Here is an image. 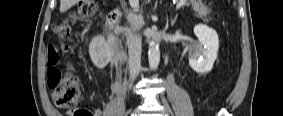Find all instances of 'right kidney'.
Returning <instances> with one entry per match:
<instances>
[{
  "mask_svg": "<svg viewBox=\"0 0 283 116\" xmlns=\"http://www.w3.org/2000/svg\"><path fill=\"white\" fill-rule=\"evenodd\" d=\"M89 54L93 64L103 69L114 56L113 39L95 36L89 44Z\"/></svg>",
  "mask_w": 283,
  "mask_h": 116,
  "instance_id": "right-kidney-1",
  "label": "right kidney"
}]
</instances>
